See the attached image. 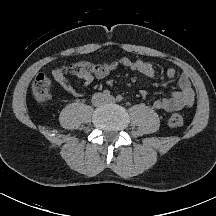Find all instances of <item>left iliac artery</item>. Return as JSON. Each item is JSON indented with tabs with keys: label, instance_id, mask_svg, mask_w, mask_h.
Returning <instances> with one entry per match:
<instances>
[{
	"label": "left iliac artery",
	"instance_id": "1",
	"mask_svg": "<svg viewBox=\"0 0 216 216\" xmlns=\"http://www.w3.org/2000/svg\"><path fill=\"white\" fill-rule=\"evenodd\" d=\"M116 100H117L118 102H121V101L123 100V97H122L121 95H117V96H116Z\"/></svg>",
	"mask_w": 216,
	"mask_h": 216
}]
</instances>
